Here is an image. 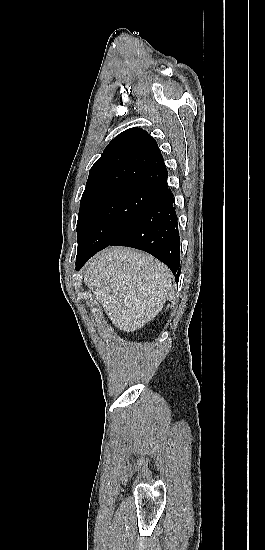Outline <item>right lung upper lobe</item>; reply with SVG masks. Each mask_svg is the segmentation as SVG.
Masks as SVG:
<instances>
[{
	"label": "right lung upper lobe",
	"mask_w": 265,
	"mask_h": 550,
	"mask_svg": "<svg viewBox=\"0 0 265 550\" xmlns=\"http://www.w3.org/2000/svg\"><path fill=\"white\" fill-rule=\"evenodd\" d=\"M168 172L156 141L141 128L115 137L89 171L82 199L123 187L160 186Z\"/></svg>",
	"instance_id": "cb5924a9"
}]
</instances>
